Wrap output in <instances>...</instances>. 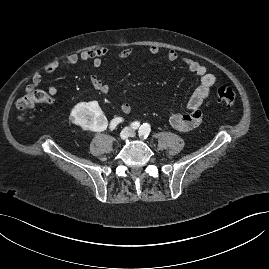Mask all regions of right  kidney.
<instances>
[{"label":"right kidney","mask_w":269,"mask_h":269,"mask_svg":"<svg viewBox=\"0 0 269 269\" xmlns=\"http://www.w3.org/2000/svg\"><path fill=\"white\" fill-rule=\"evenodd\" d=\"M71 123L80 124L85 129L93 131L105 130L107 120L97 103H80L75 110L68 112Z\"/></svg>","instance_id":"ca27d5eb"}]
</instances>
